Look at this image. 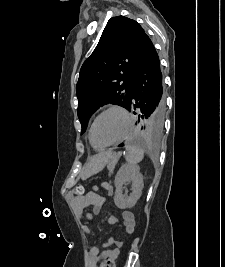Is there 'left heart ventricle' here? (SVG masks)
<instances>
[{"instance_id": "left-heart-ventricle-1", "label": "left heart ventricle", "mask_w": 225, "mask_h": 267, "mask_svg": "<svg viewBox=\"0 0 225 267\" xmlns=\"http://www.w3.org/2000/svg\"><path fill=\"white\" fill-rule=\"evenodd\" d=\"M126 126L124 116L117 111L102 115L94 127V139L97 144H106L118 139Z\"/></svg>"}]
</instances>
